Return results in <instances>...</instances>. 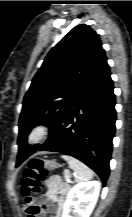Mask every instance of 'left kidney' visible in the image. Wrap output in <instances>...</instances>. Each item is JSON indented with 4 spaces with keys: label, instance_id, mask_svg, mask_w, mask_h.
I'll list each match as a JSON object with an SVG mask.
<instances>
[{
    "label": "left kidney",
    "instance_id": "5707ae66",
    "mask_svg": "<svg viewBox=\"0 0 132 217\" xmlns=\"http://www.w3.org/2000/svg\"><path fill=\"white\" fill-rule=\"evenodd\" d=\"M100 192L98 181L76 184L67 196L62 217H89Z\"/></svg>",
    "mask_w": 132,
    "mask_h": 217
}]
</instances>
